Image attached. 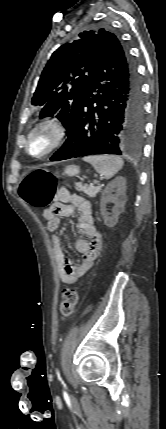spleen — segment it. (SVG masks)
Wrapping results in <instances>:
<instances>
[{"label":"spleen","instance_id":"spleen-1","mask_svg":"<svg viewBox=\"0 0 166 429\" xmlns=\"http://www.w3.org/2000/svg\"><path fill=\"white\" fill-rule=\"evenodd\" d=\"M83 160L90 163L106 179L113 177L124 164L122 158L115 155H91L84 157Z\"/></svg>","mask_w":166,"mask_h":429}]
</instances>
